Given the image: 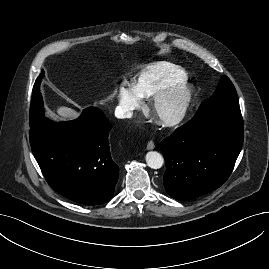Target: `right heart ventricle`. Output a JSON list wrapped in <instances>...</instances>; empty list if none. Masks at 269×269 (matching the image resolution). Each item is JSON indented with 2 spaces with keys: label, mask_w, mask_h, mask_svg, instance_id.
<instances>
[{
  "label": "right heart ventricle",
  "mask_w": 269,
  "mask_h": 269,
  "mask_svg": "<svg viewBox=\"0 0 269 269\" xmlns=\"http://www.w3.org/2000/svg\"><path fill=\"white\" fill-rule=\"evenodd\" d=\"M186 73L170 63L161 62L147 66L133 88L141 98L153 95L179 83L185 82Z\"/></svg>",
  "instance_id": "right-heart-ventricle-1"
}]
</instances>
